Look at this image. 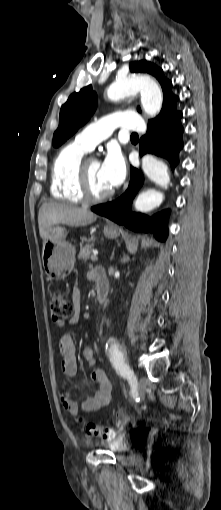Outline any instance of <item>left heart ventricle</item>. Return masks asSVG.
Here are the masks:
<instances>
[{
    "instance_id": "1",
    "label": "left heart ventricle",
    "mask_w": 221,
    "mask_h": 510,
    "mask_svg": "<svg viewBox=\"0 0 221 510\" xmlns=\"http://www.w3.org/2000/svg\"><path fill=\"white\" fill-rule=\"evenodd\" d=\"M90 190L94 195H102L111 191L101 176V163L96 159H90L87 164Z\"/></svg>"
}]
</instances>
